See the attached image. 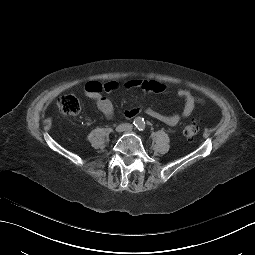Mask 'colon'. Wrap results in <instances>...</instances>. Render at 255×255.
Here are the masks:
<instances>
[{
    "label": "colon",
    "instance_id": "colon-1",
    "mask_svg": "<svg viewBox=\"0 0 255 255\" xmlns=\"http://www.w3.org/2000/svg\"><path fill=\"white\" fill-rule=\"evenodd\" d=\"M59 111L66 116H75L81 111V101L75 95H64L57 101ZM200 131V123L196 119H191L186 123L183 134L187 138L194 137Z\"/></svg>",
    "mask_w": 255,
    "mask_h": 255
}]
</instances>
